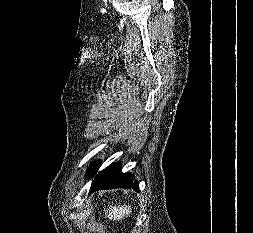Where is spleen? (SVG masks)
I'll list each match as a JSON object with an SVG mask.
<instances>
[{
	"label": "spleen",
	"mask_w": 253,
	"mask_h": 233,
	"mask_svg": "<svg viewBox=\"0 0 253 233\" xmlns=\"http://www.w3.org/2000/svg\"><path fill=\"white\" fill-rule=\"evenodd\" d=\"M132 213V208L129 205L123 204L121 206H109L105 210V216L109 220L119 221L122 220L125 216L128 217Z\"/></svg>",
	"instance_id": "obj_1"
}]
</instances>
